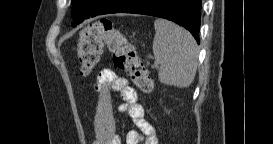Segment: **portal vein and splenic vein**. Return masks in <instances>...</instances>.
Masks as SVG:
<instances>
[{"label":"portal vein and splenic vein","mask_w":273,"mask_h":144,"mask_svg":"<svg viewBox=\"0 0 273 144\" xmlns=\"http://www.w3.org/2000/svg\"><path fill=\"white\" fill-rule=\"evenodd\" d=\"M157 66V63H154V65L152 67H156Z\"/></svg>","instance_id":"obj_1"}]
</instances>
